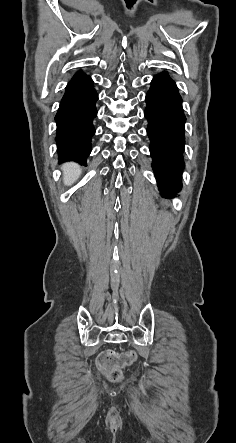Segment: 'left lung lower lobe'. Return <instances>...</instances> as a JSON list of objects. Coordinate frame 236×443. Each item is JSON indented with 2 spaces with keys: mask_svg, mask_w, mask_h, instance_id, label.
I'll list each match as a JSON object with an SVG mask.
<instances>
[{
  "mask_svg": "<svg viewBox=\"0 0 236 443\" xmlns=\"http://www.w3.org/2000/svg\"><path fill=\"white\" fill-rule=\"evenodd\" d=\"M150 152L159 189L174 195L182 188L185 115L175 82L166 72L156 75L146 96Z\"/></svg>",
  "mask_w": 236,
  "mask_h": 443,
  "instance_id": "obj_1",
  "label": "left lung lower lobe"
}]
</instances>
